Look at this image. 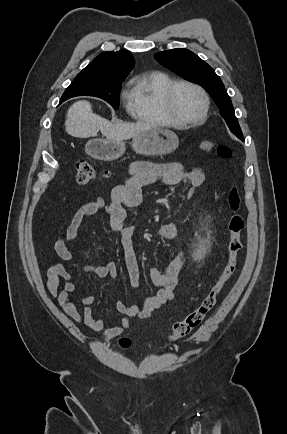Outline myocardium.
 Listing matches in <instances>:
<instances>
[{
    "mask_svg": "<svg viewBox=\"0 0 287 434\" xmlns=\"http://www.w3.org/2000/svg\"><path fill=\"white\" fill-rule=\"evenodd\" d=\"M181 85H186L189 87H192L193 89H195L201 96L202 101H203V109L201 114L194 118V119H181L180 117H178L176 115V113L174 112V108H173V94L176 90V88L178 86ZM163 107L164 110L167 114V116L170 118V120L176 124V125H194V124H199L201 122H203L209 112V108H210V101H209V97L208 94L206 93L205 89L200 86L199 84L189 81V80H184V79H180V80H174L172 81L165 89L164 94H163Z\"/></svg>",
    "mask_w": 287,
    "mask_h": 434,
    "instance_id": "obj_1",
    "label": "myocardium"
}]
</instances>
